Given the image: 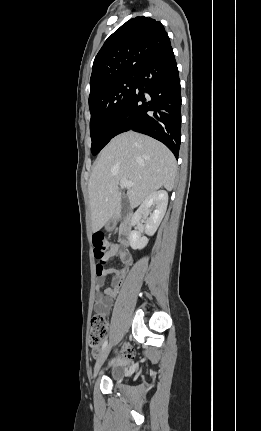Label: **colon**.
<instances>
[{"mask_svg":"<svg viewBox=\"0 0 261 431\" xmlns=\"http://www.w3.org/2000/svg\"><path fill=\"white\" fill-rule=\"evenodd\" d=\"M94 254L98 260L96 266L97 276H101L104 270V263L109 258L114 242L104 234L98 233L93 236ZM107 320L104 314H97L91 320V328L89 334V345L93 356H97L99 347L105 337L107 331Z\"/></svg>","mask_w":261,"mask_h":431,"instance_id":"colon-1","label":"colon"}]
</instances>
